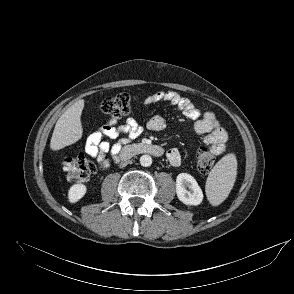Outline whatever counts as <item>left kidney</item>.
Masks as SVG:
<instances>
[{
    "label": "left kidney",
    "mask_w": 294,
    "mask_h": 294,
    "mask_svg": "<svg viewBox=\"0 0 294 294\" xmlns=\"http://www.w3.org/2000/svg\"><path fill=\"white\" fill-rule=\"evenodd\" d=\"M189 188V191L187 190ZM176 193L178 199L186 205H199L203 193L197 181L190 174L180 173L176 178Z\"/></svg>",
    "instance_id": "5707ae66"
}]
</instances>
